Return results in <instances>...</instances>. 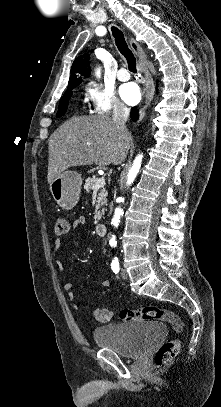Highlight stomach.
<instances>
[{
	"mask_svg": "<svg viewBox=\"0 0 221 407\" xmlns=\"http://www.w3.org/2000/svg\"><path fill=\"white\" fill-rule=\"evenodd\" d=\"M82 177L75 171H64L50 184L49 189L57 204L64 210L73 209L79 201Z\"/></svg>",
	"mask_w": 221,
	"mask_h": 407,
	"instance_id": "0dacf381",
	"label": "stomach"
}]
</instances>
